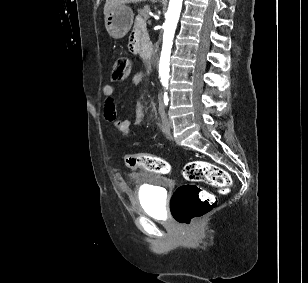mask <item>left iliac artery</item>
<instances>
[{"instance_id":"obj_1","label":"left iliac artery","mask_w":308,"mask_h":283,"mask_svg":"<svg viewBox=\"0 0 308 283\" xmlns=\"http://www.w3.org/2000/svg\"><path fill=\"white\" fill-rule=\"evenodd\" d=\"M164 102H165V104L167 105V102H168V96H167V94H166V93L164 94Z\"/></svg>"}]
</instances>
